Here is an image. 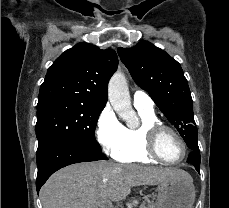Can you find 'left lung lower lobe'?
I'll list each match as a JSON object with an SVG mask.
<instances>
[{
    "label": "left lung lower lobe",
    "instance_id": "1",
    "mask_svg": "<svg viewBox=\"0 0 229 208\" xmlns=\"http://www.w3.org/2000/svg\"><path fill=\"white\" fill-rule=\"evenodd\" d=\"M187 146L192 150L189 154L187 163H191L195 166V169L200 173V150L198 147L197 136H191L184 138Z\"/></svg>",
    "mask_w": 229,
    "mask_h": 208
}]
</instances>
